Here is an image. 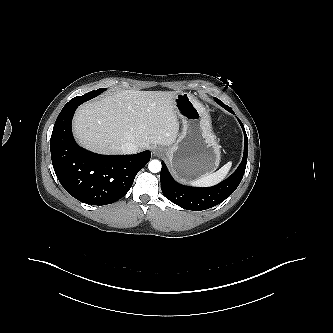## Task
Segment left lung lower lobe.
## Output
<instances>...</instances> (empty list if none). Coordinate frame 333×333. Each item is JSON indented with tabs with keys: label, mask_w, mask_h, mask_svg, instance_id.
Wrapping results in <instances>:
<instances>
[{
	"label": "left lung lower lobe",
	"mask_w": 333,
	"mask_h": 333,
	"mask_svg": "<svg viewBox=\"0 0 333 333\" xmlns=\"http://www.w3.org/2000/svg\"><path fill=\"white\" fill-rule=\"evenodd\" d=\"M214 100L227 111L234 114L228 105H225L216 97ZM238 121L244 132V155L236 171L215 186L206 188L190 187L177 183L170 175L164 162H162L160 174L161 189L168 200L184 209L201 211L220 204L235 191L243 178L248 156V138L242 122L239 119Z\"/></svg>",
	"instance_id": "0a47b994"
}]
</instances>
